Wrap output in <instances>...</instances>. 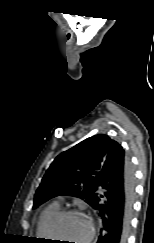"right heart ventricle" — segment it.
<instances>
[{"label":"right heart ventricle","instance_id":"obj_1","mask_svg":"<svg viewBox=\"0 0 154 243\" xmlns=\"http://www.w3.org/2000/svg\"><path fill=\"white\" fill-rule=\"evenodd\" d=\"M60 211L58 203L47 206L41 213L38 222L36 234L42 239H50L48 227L51 219Z\"/></svg>","mask_w":154,"mask_h":243}]
</instances>
